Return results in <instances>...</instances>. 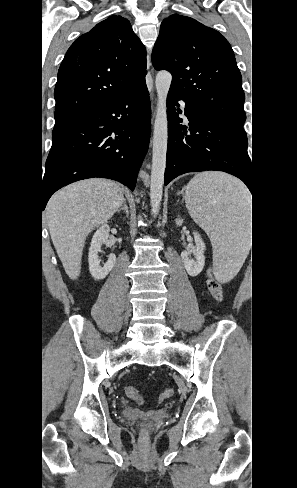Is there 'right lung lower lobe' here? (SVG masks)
<instances>
[{"label":"right lung lower lobe","mask_w":297,"mask_h":488,"mask_svg":"<svg viewBox=\"0 0 297 488\" xmlns=\"http://www.w3.org/2000/svg\"><path fill=\"white\" fill-rule=\"evenodd\" d=\"M151 109L145 80L65 127L53 130L42 183L43 209L58 189L102 177L132 191L147 153Z\"/></svg>","instance_id":"1"}]
</instances>
